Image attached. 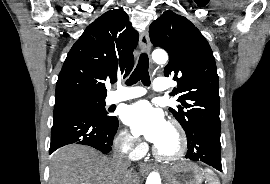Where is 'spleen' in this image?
Here are the masks:
<instances>
[{
    "mask_svg": "<svg viewBox=\"0 0 270 184\" xmlns=\"http://www.w3.org/2000/svg\"><path fill=\"white\" fill-rule=\"evenodd\" d=\"M205 176L209 182L208 184H220L218 178L214 175V173L211 170L206 169Z\"/></svg>",
    "mask_w": 270,
    "mask_h": 184,
    "instance_id": "spleen-1",
    "label": "spleen"
}]
</instances>
